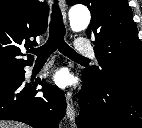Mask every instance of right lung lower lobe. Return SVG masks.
I'll return each instance as SVG.
<instances>
[{"label": "right lung lower lobe", "instance_id": "right-lung-lower-lobe-1", "mask_svg": "<svg viewBox=\"0 0 142 128\" xmlns=\"http://www.w3.org/2000/svg\"><path fill=\"white\" fill-rule=\"evenodd\" d=\"M25 71L11 85L0 87V120H15L36 128H58L66 114V100L59 88L44 80L27 82ZM37 84L42 95L37 96Z\"/></svg>", "mask_w": 142, "mask_h": 128}]
</instances>
